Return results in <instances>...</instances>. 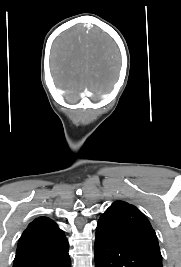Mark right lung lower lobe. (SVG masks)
Listing matches in <instances>:
<instances>
[{
	"mask_svg": "<svg viewBox=\"0 0 181 267\" xmlns=\"http://www.w3.org/2000/svg\"><path fill=\"white\" fill-rule=\"evenodd\" d=\"M13 267H71L68 248L55 253L18 254Z\"/></svg>",
	"mask_w": 181,
	"mask_h": 267,
	"instance_id": "98d812e1",
	"label": "right lung lower lobe"
}]
</instances>
